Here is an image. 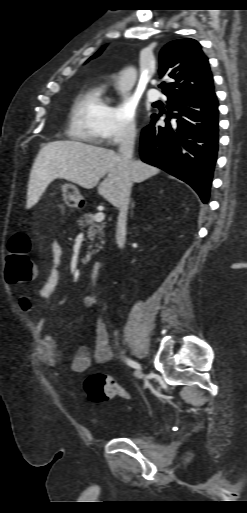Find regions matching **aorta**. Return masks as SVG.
<instances>
[{
  "label": "aorta",
  "instance_id": "aorta-1",
  "mask_svg": "<svg viewBox=\"0 0 247 513\" xmlns=\"http://www.w3.org/2000/svg\"><path fill=\"white\" fill-rule=\"evenodd\" d=\"M137 77V71L134 67H127L120 73L119 85L118 89L121 93H126L130 91Z\"/></svg>",
  "mask_w": 247,
  "mask_h": 513
}]
</instances>
